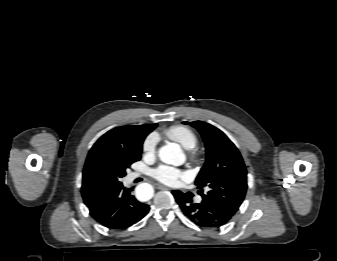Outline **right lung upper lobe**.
<instances>
[{"instance_id": "obj_1", "label": "right lung upper lobe", "mask_w": 337, "mask_h": 261, "mask_svg": "<svg viewBox=\"0 0 337 261\" xmlns=\"http://www.w3.org/2000/svg\"><path fill=\"white\" fill-rule=\"evenodd\" d=\"M156 126L157 124L122 126L108 131L93 145L89 151L86 164L94 155L102 151L135 155L142 149V143L145 137L154 130ZM82 196L84 203L88 207L101 197L99 194L92 193L84 183L82 184Z\"/></svg>"}]
</instances>
